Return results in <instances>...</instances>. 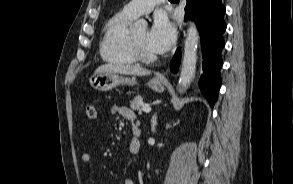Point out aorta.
<instances>
[{"label":"aorta","mask_w":293,"mask_h":184,"mask_svg":"<svg viewBox=\"0 0 293 184\" xmlns=\"http://www.w3.org/2000/svg\"><path fill=\"white\" fill-rule=\"evenodd\" d=\"M146 26L147 22L143 19H139L134 23L133 28L143 29ZM198 41L199 33L197 27L194 23H190V26L187 30V37L184 43L182 67L178 81L180 92L186 91L195 77Z\"/></svg>","instance_id":"1"}]
</instances>
